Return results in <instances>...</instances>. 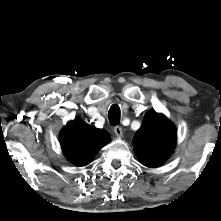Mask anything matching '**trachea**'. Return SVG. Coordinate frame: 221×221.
<instances>
[{"instance_id":"trachea-1","label":"trachea","mask_w":221,"mask_h":221,"mask_svg":"<svg viewBox=\"0 0 221 221\" xmlns=\"http://www.w3.org/2000/svg\"><path fill=\"white\" fill-rule=\"evenodd\" d=\"M109 121L112 125H118L120 122V108L117 104L110 107L108 112Z\"/></svg>"}]
</instances>
